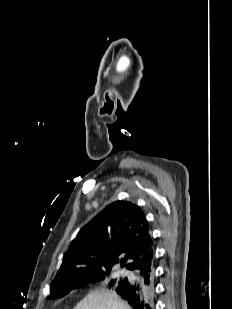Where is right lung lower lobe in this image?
<instances>
[{
    "label": "right lung lower lobe",
    "instance_id": "1",
    "mask_svg": "<svg viewBox=\"0 0 232 309\" xmlns=\"http://www.w3.org/2000/svg\"><path fill=\"white\" fill-rule=\"evenodd\" d=\"M132 272L114 290L133 309H154V258H142L129 268Z\"/></svg>",
    "mask_w": 232,
    "mask_h": 309
}]
</instances>
